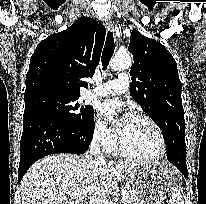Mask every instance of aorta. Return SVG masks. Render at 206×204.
Listing matches in <instances>:
<instances>
[{
  "label": "aorta",
  "instance_id": "obj_1",
  "mask_svg": "<svg viewBox=\"0 0 206 204\" xmlns=\"http://www.w3.org/2000/svg\"><path fill=\"white\" fill-rule=\"evenodd\" d=\"M131 65V57L127 53H117L110 61L112 70L121 71L128 69Z\"/></svg>",
  "mask_w": 206,
  "mask_h": 204
}]
</instances>
